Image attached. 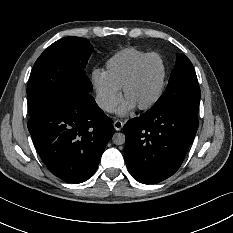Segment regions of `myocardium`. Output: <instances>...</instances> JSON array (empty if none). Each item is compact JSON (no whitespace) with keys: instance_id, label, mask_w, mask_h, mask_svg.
<instances>
[{"instance_id":"myocardium-1","label":"myocardium","mask_w":233,"mask_h":233,"mask_svg":"<svg viewBox=\"0 0 233 233\" xmlns=\"http://www.w3.org/2000/svg\"><path fill=\"white\" fill-rule=\"evenodd\" d=\"M154 57H159L162 59L163 63H164V78L160 87V90L157 94V96L154 98L153 101H151L149 104L147 105H143V106H137V108L140 111H148L152 108H154L163 98L167 84H168V80H169V65L165 59V57L158 52H152L149 53L134 69L133 71L130 73V75L128 76V78L125 80V82L123 83L122 86V92L123 95L126 97L127 95V91L128 89L131 87V85L136 81V79L138 78L139 74L141 73V71L143 70V68L145 67V65Z\"/></svg>"}]
</instances>
